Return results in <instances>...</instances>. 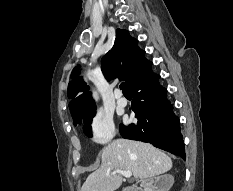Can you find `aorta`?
Instances as JSON below:
<instances>
[{
    "label": "aorta",
    "mask_w": 233,
    "mask_h": 191,
    "mask_svg": "<svg viewBox=\"0 0 233 191\" xmlns=\"http://www.w3.org/2000/svg\"><path fill=\"white\" fill-rule=\"evenodd\" d=\"M93 96H94V98H95L96 100L98 99V95H97L96 92L93 93Z\"/></svg>",
    "instance_id": "762f6f07"
}]
</instances>
